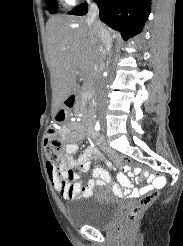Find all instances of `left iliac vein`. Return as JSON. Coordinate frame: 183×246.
Listing matches in <instances>:
<instances>
[{
	"mask_svg": "<svg viewBox=\"0 0 183 246\" xmlns=\"http://www.w3.org/2000/svg\"><path fill=\"white\" fill-rule=\"evenodd\" d=\"M102 129L105 130V124H103V128Z\"/></svg>",
	"mask_w": 183,
	"mask_h": 246,
	"instance_id": "4c4485c4",
	"label": "left iliac vein"
}]
</instances>
